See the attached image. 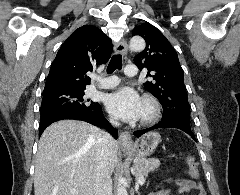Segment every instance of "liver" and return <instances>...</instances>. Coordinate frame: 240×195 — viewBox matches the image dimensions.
<instances>
[{"mask_svg": "<svg viewBox=\"0 0 240 195\" xmlns=\"http://www.w3.org/2000/svg\"><path fill=\"white\" fill-rule=\"evenodd\" d=\"M100 133L99 127L76 119H61L46 127L36 155L35 195H94ZM118 149L117 141L108 145L109 175L116 167Z\"/></svg>", "mask_w": 240, "mask_h": 195, "instance_id": "liver-1", "label": "liver"}]
</instances>
